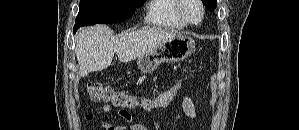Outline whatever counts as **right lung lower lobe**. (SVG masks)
Here are the masks:
<instances>
[{
  "label": "right lung lower lobe",
  "instance_id": "right-lung-lower-lobe-1",
  "mask_svg": "<svg viewBox=\"0 0 299 130\" xmlns=\"http://www.w3.org/2000/svg\"><path fill=\"white\" fill-rule=\"evenodd\" d=\"M79 27L77 25L74 26V32H76V30L78 29Z\"/></svg>",
  "mask_w": 299,
  "mask_h": 130
}]
</instances>
